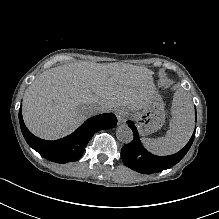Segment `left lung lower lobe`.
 Segmentation results:
<instances>
[{
    "label": "left lung lower lobe",
    "instance_id": "obj_1",
    "mask_svg": "<svg viewBox=\"0 0 219 219\" xmlns=\"http://www.w3.org/2000/svg\"><path fill=\"white\" fill-rule=\"evenodd\" d=\"M129 127L133 130L134 139L129 144L123 146L121 157L124 164L142 174L157 173L177 164L190 149L195 133L190 141L179 152L169 156H156L148 152L141 144L138 131L132 121H127Z\"/></svg>",
    "mask_w": 219,
    "mask_h": 219
}]
</instances>
